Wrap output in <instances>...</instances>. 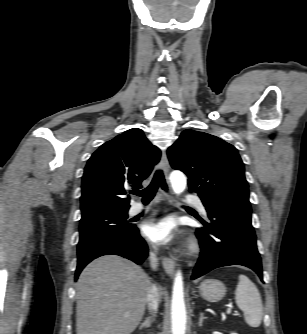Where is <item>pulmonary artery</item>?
I'll return each mask as SVG.
<instances>
[{
    "label": "pulmonary artery",
    "mask_w": 307,
    "mask_h": 334,
    "mask_svg": "<svg viewBox=\"0 0 307 334\" xmlns=\"http://www.w3.org/2000/svg\"><path fill=\"white\" fill-rule=\"evenodd\" d=\"M189 201L192 204H194L203 215H207V211H206V208L204 206V203L199 198H190ZM149 210H150L149 206H142L140 204H134L130 208L129 214L131 216H135V215L141 214L143 212H147Z\"/></svg>",
    "instance_id": "e3ab8cb5"
}]
</instances>
